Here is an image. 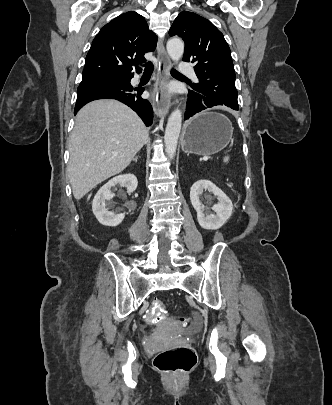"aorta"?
<instances>
[{"label":"aorta","instance_id":"obj_1","mask_svg":"<svg viewBox=\"0 0 332 405\" xmlns=\"http://www.w3.org/2000/svg\"><path fill=\"white\" fill-rule=\"evenodd\" d=\"M167 51L173 61H178L184 53V43L181 39L171 38L167 42ZM182 124V113L175 109L169 116L166 125L164 142L165 152L169 158H174Z\"/></svg>","mask_w":332,"mask_h":405}]
</instances>
